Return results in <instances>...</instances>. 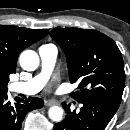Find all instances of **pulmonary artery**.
Here are the masks:
<instances>
[{"label": "pulmonary artery", "instance_id": "e3ab8cb5", "mask_svg": "<svg viewBox=\"0 0 130 130\" xmlns=\"http://www.w3.org/2000/svg\"><path fill=\"white\" fill-rule=\"evenodd\" d=\"M39 55L41 71L27 81L11 83L9 87L12 92L34 95L44 87L55 65L57 49L54 45H43L39 48Z\"/></svg>", "mask_w": 130, "mask_h": 130}]
</instances>
